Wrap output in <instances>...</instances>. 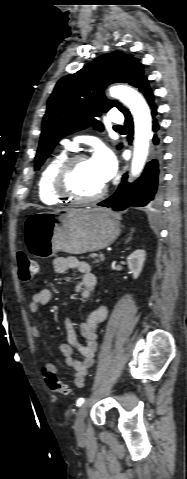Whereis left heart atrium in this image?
Masks as SVG:
<instances>
[{
    "label": "left heart atrium",
    "instance_id": "left-heart-atrium-1",
    "mask_svg": "<svg viewBox=\"0 0 187 479\" xmlns=\"http://www.w3.org/2000/svg\"><path fill=\"white\" fill-rule=\"evenodd\" d=\"M91 162L104 183L108 182L116 172V159L112 152L104 146H98L95 149Z\"/></svg>",
    "mask_w": 187,
    "mask_h": 479
}]
</instances>
